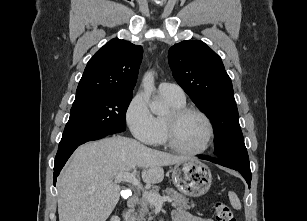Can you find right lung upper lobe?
Returning <instances> with one entry per match:
<instances>
[{
	"label": "right lung upper lobe",
	"mask_w": 307,
	"mask_h": 221,
	"mask_svg": "<svg viewBox=\"0 0 307 221\" xmlns=\"http://www.w3.org/2000/svg\"><path fill=\"white\" fill-rule=\"evenodd\" d=\"M143 48L112 39L88 61L74 102L110 93H132Z\"/></svg>",
	"instance_id": "cb5924a9"
}]
</instances>
